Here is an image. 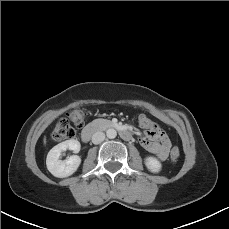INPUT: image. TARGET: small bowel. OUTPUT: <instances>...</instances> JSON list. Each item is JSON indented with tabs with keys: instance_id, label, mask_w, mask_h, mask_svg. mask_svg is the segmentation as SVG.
<instances>
[{
	"instance_id": "obj_1",
	"label": "small bowel",
	"mask_w": 229,
	"mask_h": 229,
	"mask_svg": "<svg viewBox=\"0 0 229 229\" xmlns=\"http://www.w3.org/2000/svg\"><path fill=\"white\" fill-rule=\"evenodd\" d=\"M139 122L147 130L139 140L141 146L160 161L166 160L171 148L168 136L145 115L139 117Z\"/></svg>"
}]
</instances>
